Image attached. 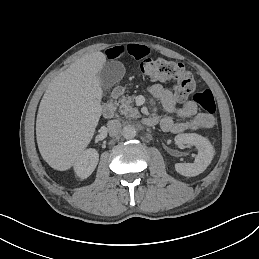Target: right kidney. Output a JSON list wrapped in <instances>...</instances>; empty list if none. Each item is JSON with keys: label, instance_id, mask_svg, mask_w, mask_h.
Returning a JSON list of instances; mask_svg holds the SVG:
<instances>
[{"label": "right kidney", "instance_id": "right-kidney-1", "mask_svg": "<svg viewBox=\"0 0 259 259\" xmlns=\"http://www.w3.org/2000/svg\"><path fill=\"white\" fill-rule=\"evenodd\" d=\"M99 160L98 152L89 148L77 158L74 163V171L78 177L85 179L89 177L96 168Z\"/></svg>", "mask_w": 259, "mask_h": 259}]
</instances>
